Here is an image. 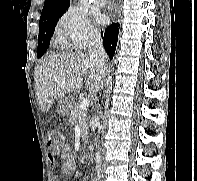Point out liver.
I'll list each match as a JSON object with an SVG mask.
<instances>
[{"label": "liver", "instance_id": "6515ba94", "mask_svg": "<svg viewBox=\"0 0 197 181\" xmlns=\"http://www.w3.org/2000/svg\"><path fill=\"white\" fill-rule=\"evenodd\" d=\"M92 93L98 92L107 83L89 54L66 52L47 55L35 70V91L39 107L47 112L55 100L77 91L83 84Z\"/></svg>", "mask_w": 197, "mask_h": 181}]
</instances>
